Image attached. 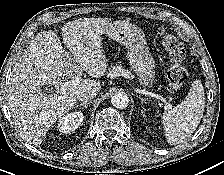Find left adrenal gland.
<instances>
[{"instance_id":"obj_1","label":"left adrenal gland","mask_w":224,"mask_h":175,"mask_svg":"<svg viewBox=\"0 0 224 175\" xmlns=\"http://www.w3.org/2000/svg\"><path fill=\"white\" fill-rule=\"evenodd\" d=\"M137 97L141 100V103H142V104H143V103H146V101H147L146 99H144V98H142V97H140V96H138V95H137Z\"/></svg>"}]
</instances>
